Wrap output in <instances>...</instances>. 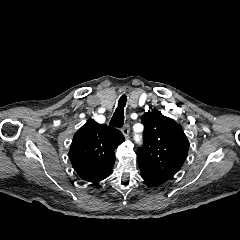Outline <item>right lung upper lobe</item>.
<instances>
[{
	"instance_id": "1",
	"label": "right lung upper lobe",
	"mask_w": 240,
	"mask_h": 240,
	"mask_svg": "<svg viewBox=\"0 0 240 240\" xmlns=\"http://www.w3.org/2000/svg\"><path fill=\"white\" fill-rule=\"evenodd\" d=\"M124 141L123 134L107 125L89 120L74 135L69 158L85 181L98 183L110 175L115 162L114 149Z\"/></svg>"
}]
</instances>
